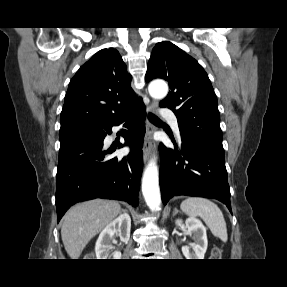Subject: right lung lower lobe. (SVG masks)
Instances as JSON below:
<instances>
[{
    "label": "right lung lower lobe",
    "instance_id": "1",
    "mask_svg": "<svg viewBox=\"0 0 287 287\" xmlns=\"http://www.w3.org/2000/svg\"><path fill=\"white\" fill-rule=\"evenodd\" d=\"M146 116L143 103L125 114L99 125L95 136H84L60 142L56 175V209L59 222L75 203L95 198L115 199L138 206V193L143 170L141 150ZM125 144L130 153L110 159L102 150L103 140L111 128L124 123ZM123 147L122 144L119 148Z\"/></svg>",
    "mask_w": 287,
    "mask_h": 287
}]
</instances>
